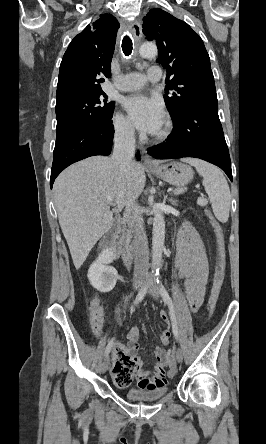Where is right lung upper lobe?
I'll return each mask as SVG.
<instances>
[{
    "mask_svg": "<svg viewBox=\"0 0 266 444\" xmlns=\"http://www.w3.org/2000/svg\"><path fill=\"white\" fill-rule=\"evenodd\" d=\"M119 26L114 16L103 14L73 38L60 65L56 98L101 89L110 76Z\"/></svg>",
    "mask_w": 266,
    "mask_h": 444,
    "instance_id": "cb5924a9",
    "label": "right lung upper lobe"
}]
</instances>
